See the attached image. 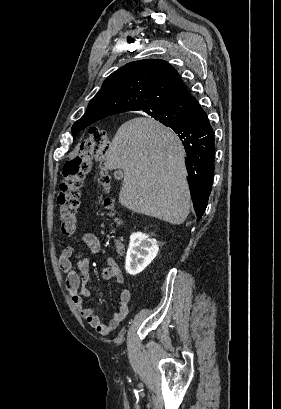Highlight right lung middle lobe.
<instances>
[{"mask_svg": "<svg viewBox=\"0 0 281 409\" xmlns=\"http://www.w3.org/2000/svg\"><path fill=\"white\" fill-rule=\"evenodd\" d=\"M156 120H158L159 122H161L162 124L169 126L170 124L175 122V118L170 116V117H161V118H155ZM80 131V129H75L72 128V134L75 137L76 134Z\"/></svg>", "mask_w": 281, "mask_h": 409, "instance_id": "dd1d6c3e", "label": "right lung middle lobe"}]
</instances>
